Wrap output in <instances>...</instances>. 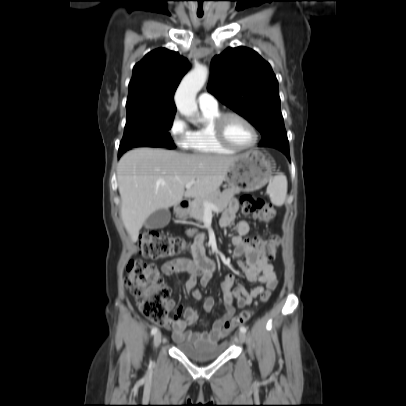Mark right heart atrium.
Here are the masks:
<instances>
[{
	"instance_id": "right-heart-atrium-1",
	"label": "right heart atrium",
	"mask_w": 406,
	"mask_h": 406,
	"mask_svg": "<svg viewBox=\"0 0 406 406\" xmlns=\"http://www.w3.org/2000/svg\"><path fill=\"white\" fill-rule=\"evenodd\" d=\"M169 132L174 142L178 146H187L191 131L186 120L178 112H176L172 117Z\"/></svg>"
}]
</instances>
